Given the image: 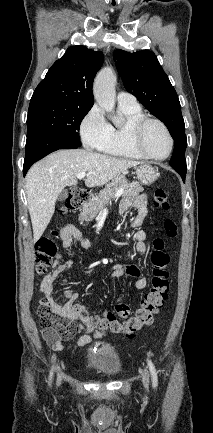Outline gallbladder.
<instances>
[{"label": "gallbladder", "mask_w": 213, "mask_h": 433, "mask_svg": "<svg viewBox=\"0 0 213 433\" xmlns=\"http://www.w3.org/2000/svg\"><path fill=\"white\" fill-rule=\"evenodd\" d=\"M68 196V191L67 190H63L59 195H58V201H63L67 198Z\"/></svg>", "instance_id": "1"}]
</instances>
